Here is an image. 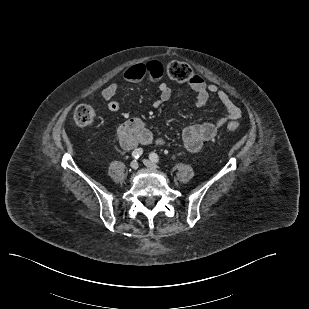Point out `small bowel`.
I'll use <instances>...</instances> for the list:
<instances>
[{
    "instance_id": "obj_1",
    "label": "small bowel",
    "mask_w": 309,
    "mask_h": 309,
    "mask_svg": "<svg viewBox=\"0 0 309 309\" xmlns=\"http://www.w3.org/2000/svg\"><path fill=\"white\" fill-rule=\"evenodd\" d=\"M163 73L162 65L159 62L151 61L148 63L135 64L128 67L123 72V80L130 83H137L145 78L153 81H159ZM189 87L195 92V106L203 107L211 95H215L226 109V116L218 118L215 122H204L187 126L182 132L184 147L190 152H198L204 143L212 140L220 127L227 122H236L241 111L233 102L231 97L223 90H220L215 84H207L201 77L195 75L189 82ZM119 90L116 83L110 84L102 90V97L107 102L108 110L117 112L120 104L114 99ZM159 103L168 101L172 96L171 87L161 82L158 85ZM117 136L121 147L125 150H132L137 145H148L155 143L162 145L163 140L155 139L152 132L139 118H128L117 129Z\"/></svg>"
}]
</instances>
